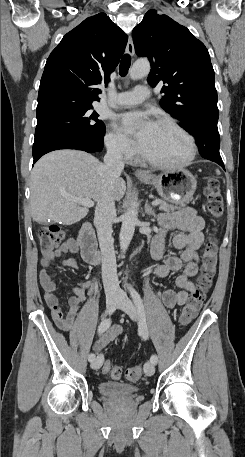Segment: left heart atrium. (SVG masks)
Here are the masks:
<instances>
[{
  "instance_id": "1",
  "label": "left heart atrium",
  "mask_w": 245,
  "mask_h": 457,
  "mask_svg": "<svg viewBox=\"0 0 245 457\" xmlns=\"http://www.w3.org/2000/svg\"><path fill=\"white\" fill-rule=\"evenodd\" d=\"M122 128L135 135V143L138 148L147 144L154 130L155 124L147 117V114L140 111L129 112L120 117Z\"/></svg>"
}]
</instances>
